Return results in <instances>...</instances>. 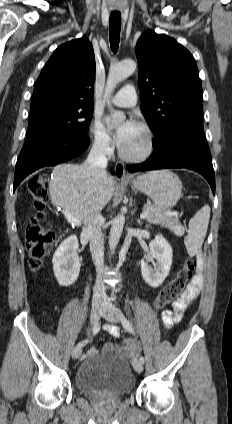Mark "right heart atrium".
<instances>
[{"mask_svg": "<svg viewBox=\"0 0 232 424\" xmlns=\"http://www.w3.org/2000/svg\"><path fill=\"white\" fill-rule=\"evenodd\" d=\"M91 147L97 153L109 155L112 152V138L103 123L95 118L88 127Z\"/></svg>", "mask_w": 232, "mask_h": 424, "instance_id": "1", "label": "right heart atrium"}]
</instances>
